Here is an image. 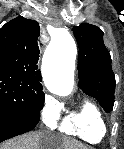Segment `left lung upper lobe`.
Wrapping results in <instances>:
<instances>
[{
	"mask_svg": "<svg viewBox=\"0 0 124 149\" xmlns=\"http://www.w3.org/2000/svg\"><path fill=\"white\" fill-rule=\"evenodd\" d=\"M73 32L79 46V86L85 94L95 97L108 113L114 105L115 76L111 56L104 46V33L87 23L74 26Z\"/></svg>",
	"mask_w": 124,
	"mask_h": 149,
	"instance_id": "5c2ea615",
	"label": "left lung upper lobe"
}]
</instances>
